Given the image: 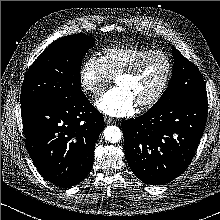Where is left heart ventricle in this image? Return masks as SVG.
I'll use <instances>...</instances> for the list:
<instances>
[{
    "label": "left heart ventricle",
    "mask_w": 220,
    "mask_h": 220,
    "mask_svg": "<svg viewBox=\"0 0 220 220\" xmlns=\"http://www.w3.org/2000/svg\"><path fill=\"white\" fill-rule=\"evenodd\" d=\"M165 74V61L160 57H152L146 61L136 76L117 78L116 84L129 91L136 104H139L150 99L156 93Z\"/></svg>",
    "instance_id": "b2bd125f"
}]
</instances>
